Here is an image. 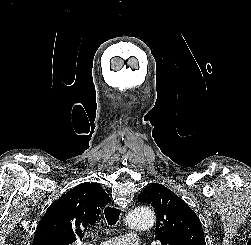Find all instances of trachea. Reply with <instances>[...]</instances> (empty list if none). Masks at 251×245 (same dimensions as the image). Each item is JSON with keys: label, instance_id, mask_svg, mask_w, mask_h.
<instances>
[{"label": "trachea", "instance_id": "1", "mask_svg": "<svg viewBox=\"0 0 251 245\" xmlns=\"http://www.w3.org/2000/svg\"><path fill=\"white\" fill-rule=\"evenodd\" d=\"M121 211L115 207H106L104 214L109 225H115L119 220Z\"/></svg>", "mask_w": 251, "mask_h": 245}]
</instances>
